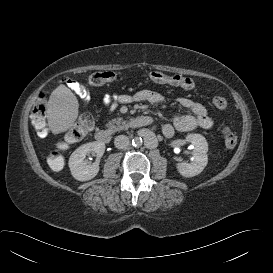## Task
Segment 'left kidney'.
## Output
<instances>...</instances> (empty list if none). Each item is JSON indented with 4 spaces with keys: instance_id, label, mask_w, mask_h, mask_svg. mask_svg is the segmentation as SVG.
<instances>
[{
    "instance_id": "5707ae66",
    "label": "left kidney",
    "mask_w": 273,
    "mask_h": 273,
    "mask_svg": "<svg viewBox=\"0 0 273 273\" xmlns=\"http://www.w3.org/2000/svg\"><path fill=\"white\" fill-rule=\"evenodd\" d=\"M186 141L194 146L192 159L188 162L177 164L178 172L184 177H193L200 174L208 163V143L201 134H189Z\"/></svg>"
}]
</instances>
